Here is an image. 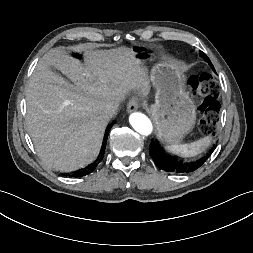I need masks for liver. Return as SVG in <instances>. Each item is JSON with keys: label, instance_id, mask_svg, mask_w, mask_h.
I'll return each mask as SVG.
<instances>
[{"label": "liver", "instance_id": "liver-1", "mask_svg": "<svg viewBox=\"0 0 253 253\" xmlns=\"http://www.w3.org/2000/svg\"><path fill=\"white\" fill-rule=\"evenodd\" d=\"M82 51L84 62L72 55ZM149 90L131 49H51L39 60L26 90V124L38 156L61 171L90 163L99 153L110 120L105 105H119L130 91L147 95Z\"/></svg>", "mask_w": 253, "mask_h": 253}]
</instances>
